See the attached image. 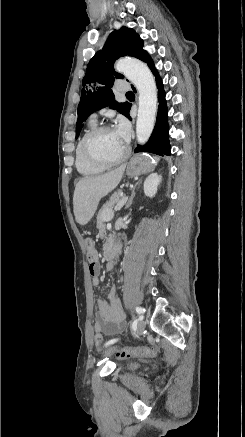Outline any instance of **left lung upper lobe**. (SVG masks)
<instances>
[{
    "instance_id": "5c2ea615",
    "label": "left lung upper lobe",
    "mask_w": 245,
    "mask_h": 437,
    "mask_svg": "<svg viewBox=\"0 0 245 437\" xmlns=\"http://www.w3.org/2000/svg\"><path fill=\"white\" fill-rule=\"evenodd\" d=\"M145 52L143 40L131 28L122 27L109 35L104 47L88 63L83 78L84 88L78 105L76 138L80 134L83 122L99 109L109 106L125 116L128 114L131 104L118 103L114 100L111 87L116 78L124 76L115 72L113 65L115 60L122 56L128 55L140 59Z\"/></svg>"
}]
</instances>
